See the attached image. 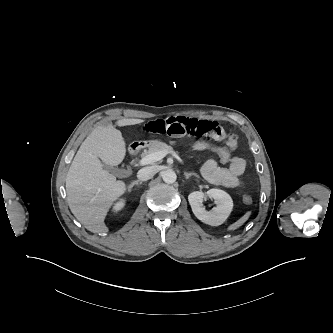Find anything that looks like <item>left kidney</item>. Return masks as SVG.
Wrapping results in <instances>:
<instances>
[{"mask_svg": "<svg viewBox=\"0 0 333 333\" xmlns=\"http://www.w3.org/2000/svg\"><path fill=\"white\" fill-rule=\"evenodd\" d=\"M206 194L215 200L216 207L211 211H207L203 206L205 194L195 191L188 196L191 209L194 215L203 223L211 226L221 225L231 213L233 201L228 193L220 189H210Z\"/></svg>", "mask_w": 333, "mask_h": 333, "instance_id": "5707ae66", "label": "left kidney"}]
</instances>
